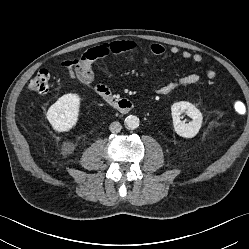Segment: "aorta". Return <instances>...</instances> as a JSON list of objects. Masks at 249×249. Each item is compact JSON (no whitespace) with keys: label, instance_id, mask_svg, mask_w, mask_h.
Masks as SVG:
<instances>
[{"label":"aorta","instance_id":"aorta-1","mask_svg":"<svg viewBox=\"0 0 249 249\" xmlns=\"http://www.w3.org/2000/svg\"><path fill=\"white\" fill-rule=\"evenodd\" d=\"M139 118L134 115H129L125 118L124 124L128 129H136L139 126Z\"/></svg>","mask_w":249,"mask_h":249}]
</instances>
